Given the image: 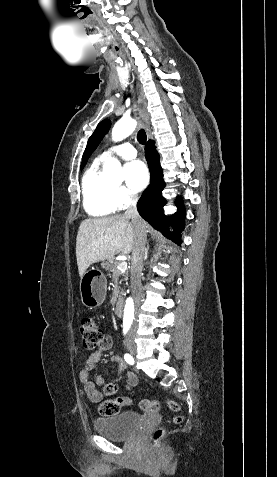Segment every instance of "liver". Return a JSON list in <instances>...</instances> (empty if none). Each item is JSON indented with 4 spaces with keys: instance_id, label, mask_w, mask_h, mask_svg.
I'll list each match as a JSON object with an SVG mask.
<instances>
[{
    "instance_id": "6515ba94",
    "label": "liver",
    "mask_w": 277,
    "mask_h": 477,
    "mask_svg": "<svg viewBox=\"0 0 277 477\" xmlns=\"http://www.w3.org/2000/svg\"><path fill=\"white\" fill-rule=\"evenodd\" d=\"M146 233V224L142 222ZM135 227L125 215L88 218L80 223L76 238V258L82 277L90 265L121 253L129 254L135 245Z\"/></svg>"
}]
</instances>
